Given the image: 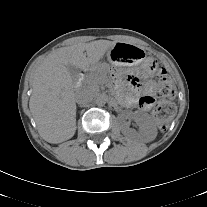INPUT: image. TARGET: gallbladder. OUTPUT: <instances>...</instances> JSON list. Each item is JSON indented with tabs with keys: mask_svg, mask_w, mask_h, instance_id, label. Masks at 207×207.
I'll list each match as a JSON object with an SVG mask.
<instances>
[{
	"mask_svg": "<svg viewBox=\"0 0 207 207\" xmlns=\"http://www.w3.org/2000/svg\"><path fill=\"white\" fill-rule=\"evenodd\" d=\"M67 69H68V71L70 72L71 75H76L77 74V69L74 66L68 65Z\"/></svg>",
	"mask_w": 207,
	"mask_h": 207,
	"instance_id": "1",
	"label": "gallbladder"
}]
</instances>
